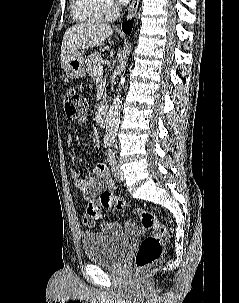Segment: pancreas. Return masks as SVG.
Segmentation results:
<instances>
[{"instance_id":"1","label":"pancreas","mask_w":239,"mask_h":303,"mask_svg":"<svg viewBox=\"0 0 239 303\" xmlns=\"http://www.w3.org/2000/svg\"><path fill=\"white\" fill-rule=\"evenodd\" d=\"M102 60L101 53L99 52H94L87 58L86 71L89 76L93 77L94 79L98 77L97 70L99 67H101Z\"/></svg>"}]
</instances>
